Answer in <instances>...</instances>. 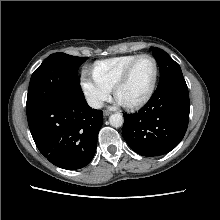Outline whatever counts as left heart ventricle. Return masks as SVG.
Segmentation results:
<instances>
[{
  "label": "left heart ventricle",
  "mask_w": 220,
  "mask_h": 220,
  "mask_svg": "<svg viewBox=\"0 0 220 220\" xmlns=\"http://www.w3.org/2000/svg\"><path fill=\"white\" fill-rule=\"evenodd\" d=\"M155 66L150 58H142L134 67L128 81L120 88L117 98L124 104L141 100L153 83Z\"/></svg>",
  "instance_id": "b2bd125f"
}]
</instances>
